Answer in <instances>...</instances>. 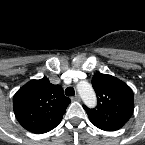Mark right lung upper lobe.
I'll list each match as a JSON object with an SVG mask.
<instances>
[{
  "label": "right lung upper lobe",
  "instance_id": "right-lung-upper-lobe-1",
  "mask_svg": "<svg viewBox=\"0 0 145 145\" xmlns=\"http://www.w3.org/2000/svg\"><path fill=\"white\" fill-rule=\"evenodd\" d=\"M70 102L60 85L44 77L29 81L16 92L13 109L23 128L42 134L59 125Z\"/></svg>",
  "mask_w": 145,
  "mask_h": 145
}]
</instances>
